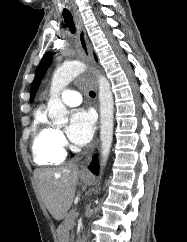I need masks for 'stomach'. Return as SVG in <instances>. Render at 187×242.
<instances>
[{"mask_svg": "<svg viewBox=\"0 0 187 242\" xmlns=\"http://www.w3.org/2000/svg\"><path fill=\"white\" fill-rule=\"evenodd\" d=\"M82 181L85 184L91 182V177L84 174L80 175ZM58 242H69V231L65 225H60L57 229Z\"/></svg>", "mask_w": 187, "mask_h": 242, "instance_id": "obj_1", "label": "stomach"}]
</instances>
